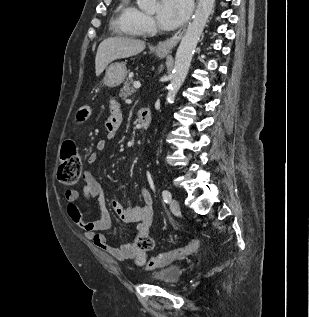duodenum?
Returning a JSON list of instances; mask_svg holds the SVG:
<instances>
[{"label":"duodenum","mask_w":309,"mask_h":317,"mask_svg":"<svg viewBox=\"0 0 309 317\" xmlns=\"http://www.w3.org/2000/svg\"><path fill=\"white\" fill-rule=\"evenodd\" d=\"M151 123V112L148 108L140 109L138 113V125L140 129H147Z\"/></svg>","instance_id":"obj_1"}]
</instances>
